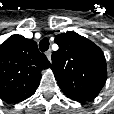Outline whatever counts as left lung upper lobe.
<instances>
[{"label":"left lung upper lobe","instance_id":"1","mask_svg":"<svg viewBox=\"0 0 114 114\" xmlns=\"http://www.w3.org/2000/svg\"><path fill=\"white\" fill-rule=\"evenodd\" d=\"M55 42L52 70L63 93L82 101L96 97L107 79L102 50L73 31L57 35Z\"/></svg>","mask_w":114,"mask_h":114}]
</instances>
